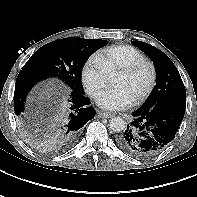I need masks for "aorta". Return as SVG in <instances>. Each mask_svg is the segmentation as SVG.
<instances>
[{
	"label": "aorta",
	"mask_w": 197,
	"mask_h": 197,
	"mask_svg": "<svg viewBox=\"0 0 197 197\" xmlns=\"http://www.w3.org/2000/svg\"><path fill=\"white\" fill-rule=\"evenodd\" d=\"M110 129L113 132H122L125 129V121L120 117H114L110 120Z\"/></svg>",
	"instance_id": "aorta-1"
}]
</instances>
